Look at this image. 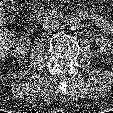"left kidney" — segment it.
I'll return each instance as SVG.
<instances>
[{"label":"left kidney","instance_id":"obj_1","mask_svg":"<svg viewBox=\"0 0 113 113\" xmlns=\"http://www.w3.org/2000/svg\"><path fill=\"white\" fill-rule=\"evenodd\" d=\"M95 42L100 52L113 55V44L109 38L105 36H98L95 39Z\"/></svg>","mask_w":113,"mask_h":113}]
</instances>
